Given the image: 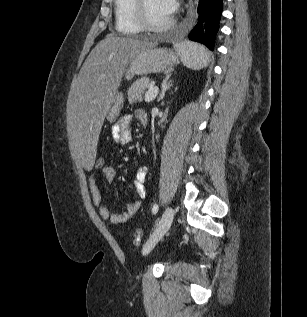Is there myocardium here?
<instances>
[{"label": "myocardium", "mask_w": 307, "mask_h": 317, "mask_svg": "<svg viewBox=\"0 0 307 317\" xmlns=\"http://www.w3.org/2000/svg\"><path fill=\"white\" fill-rule=\"evenodd\" d=\"M133 7H134L135 19L142 30L155 32V33H161V32L167 31L175 23L174 18L171 17L170 20L163 25L156 26L152 24L149 21L147 12H146V0H134Z\"/></svg>", "instance_id": "1"}]
</instances>
